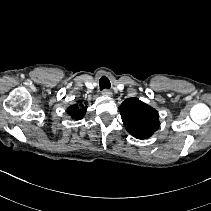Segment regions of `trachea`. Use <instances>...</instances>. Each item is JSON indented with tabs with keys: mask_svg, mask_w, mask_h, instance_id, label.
Here are the masks:
<instances>
[{
	"mask_svg": "<svg viewBox=\"0 0 211 211\" xmlns=\"http://www.w3.org/2000/svg\"><path fill=\"white\" fill-rule=\"evenodd\" d=\"M100 90L110 89L111 84L107 77H102L99 81Z\"/></svg>",
	"mask_w": 211,
	"mask_h": 211,
	"instance_id": "1",
	"label": "trachea"
}]
</instances>
